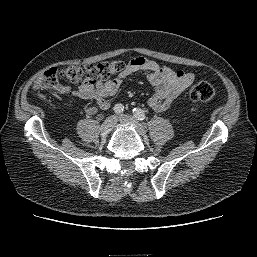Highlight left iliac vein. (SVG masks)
<instances>
[{
  "mask_svg": "<svg viewBox=\"0 0 257 257\" xmlns=\"http://www.w3.org/2000/svg\"><path fill=\"white\" fill-rule=\"evenodd\" d=\"M119 122L123 125L134 126L137 129V132L140 136L146 137V132L144 128L139 124V122L134 117L122 114L119 116Z\"/></svg>",
  "mask_w": 257,
  "mask_h": 257,
  "instance_id": "1",
  "label": "left iliac vein"
}]
</instances>
